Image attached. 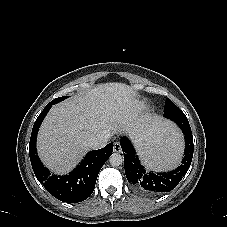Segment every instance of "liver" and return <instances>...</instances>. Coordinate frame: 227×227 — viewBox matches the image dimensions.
Wrapping results in <instances>:
<instances>
[{
	"instance_id": "liver-1",
	"label": "liver",
	"mask_w": 227,
	"mask_h": 227,
	"mask_svg": "<svg viewBox=\"0 0 227 227\" xmlns=\"http://www.w3.org/2000/svg\"><path fill=\"white\" fill-rule=\"evenodd\" d=\"M142 117L132 87L98 84L50 110L38 134L39 156L51 171L65 174L87 153L90 138L105 133L131 136L133 122Z\"/></svg>"
}]
</instances>
